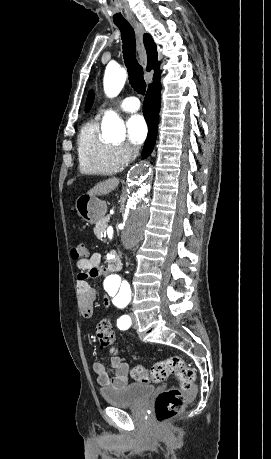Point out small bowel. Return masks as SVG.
<instances>
[{
	"label": "small bowel",
	"instance_id": "obj_1",
	"mask_svg": "<svg viewBox=\"0 0 271 459\" xmlns=\"http://www.w3.org/2000/svg\"><path fill=\"white\" fill-rule=\"evenodd\" d=\"M80 270L77 276V292L79 306L82 316L89 319L93 315V305L96 300V290L90 285L89 280L99 278L105 273L101 267V256L99 253H93L88 258L79 259L76 263ZM105 308H109L110 301L104 300ZM111 367L114 376L111 377L105 365L95 363L93 370L97 376V381L102 388H122L128 383L129 367L126 361L119 355L111 357Z\"/></svg>",
	"mask_w": 271,
	"mask_h": 459
}]
</instances>
